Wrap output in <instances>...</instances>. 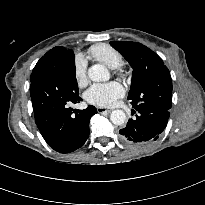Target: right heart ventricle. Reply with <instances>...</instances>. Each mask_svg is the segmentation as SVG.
Returning a JSON list of instances; mask_svg holds the SVG:
<instances>
[{
    "label": "right heart ventricle",
    "mask_w": 205,
    "mask_h": 205,
    "mask_svg": "<svg viewBox=\"0 0 205 205\" xmlns=\"http://www.w3.org/2000/svg\"><path fill=\"white\" fill-rule=\"evenodd\" d=\"M91 59L115 69L123 64V55L114 47L106 43H99L91 46L88 50Z\"/></svg>",
    "instance_id": "1"
}]
</instances>
